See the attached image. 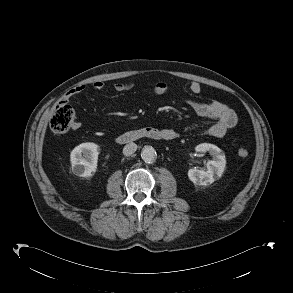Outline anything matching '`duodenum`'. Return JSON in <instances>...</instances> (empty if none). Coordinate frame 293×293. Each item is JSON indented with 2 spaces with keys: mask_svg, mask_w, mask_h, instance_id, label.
Listing matches in <instances>:
<instances>
[{
  "mask_svg": "<svg viewBox=\"0 0 293 293\" xmlns=\"http://www.w3.org/2000/svg\"><path fill=\"white\" fill-rule=\"evenodd\" d=\"M141 138H148L153 140H171L174 138V136L154 127H144L137 130L124 132L116 138V141L119 144H128Z\"/></svg>",
  "mask_w": 293,
  "mask_h": 293,
  "instance_id": "obj_1",
  "label": "duodenum"
}]
</instances>
